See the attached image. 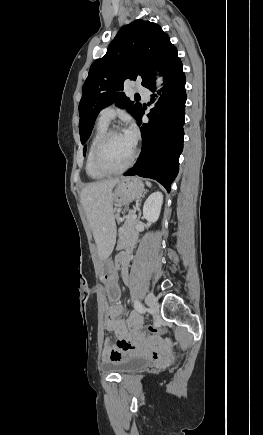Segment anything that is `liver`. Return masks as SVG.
<instances>
[{
    "mask_svg": "<svg viewBox=\"0 0 263 435\" xmlns=\"http://www.w3.org/2000/svg\"><path fill=\"white\" fill-rule=\"evenodd\" d=\"M120 180L115 178L90 183L82 189L80 195L101 260L110 256L115 245L116 224L112 190Z\"/></svg>",
    "mask_w": 263,
    "mask_h": 435,
    "instance_id": "liver-1",
    "label": "liver"
}]
</instances>
